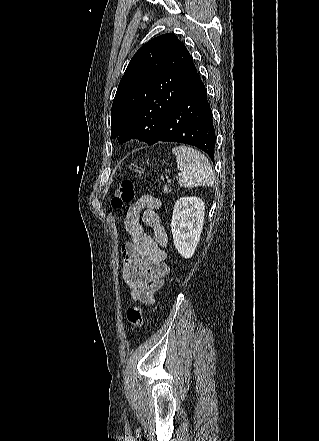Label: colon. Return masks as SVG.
Masks as SVG:
<instances>
[{
    "instance_id": "obj_1",
    "label": "colon",
    "mask_w": 319,
    "mask_h": 441,
    "mask_svg": "<svg viewBox=\"0 0 319 441\" xmlns=\"http://www.w3.org/2000/svg\"><path fill=\"white\" fill-rule=\"evenodd\" d=\"M135 199L134 184L130 180H124L113 192L111 205L114 209H120L125 204ZM127 320L132 332H136L143 325V309L139 305L131 306L127 310Z\"/></svg>"
}]
</instances>
